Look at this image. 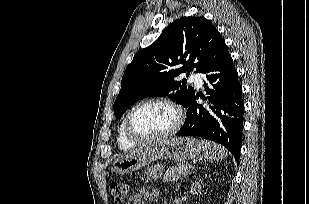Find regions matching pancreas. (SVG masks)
<instances>
[{
	"label": "pancreas",
	"mask_w": 309,
	"mask_h": 204,
	"mask_svg": "<svg viewBox=\"0 0 309 204\" xmlns=\"http://www.w3.org/2000/svg\"><path fill=\"white\" fill-rule=\"evenodd\" d=\"M188 163H179L176 166H172L166 170L162 179L164 182H174L186 175L190 170Z\"/></svg>",
	"instance_id": "cf45deb5"
}]
</instances>
